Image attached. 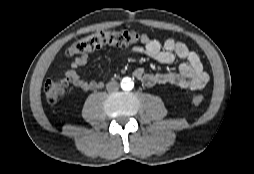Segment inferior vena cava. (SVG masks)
Returning a JSON list of instances; mask_svg holds the SVG:
<instances>
[{
  "instance_id": "obj_1",
  "label": "inferior vena cava",
  "mask_w": 254,
  "mask_h": 174,
  "mask_svg": "<svg viewBox=\"0 0 254 174\" xmlns=\"http://www.w3.org/2000/svg\"><path fill=\"white\" fill-rule=\"evenodd\" d=\"M108 91H116L119 89V83L117 81H110L106 85Z\"/></svg>"
}]
</instances>
